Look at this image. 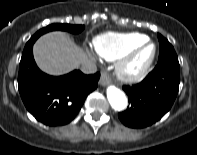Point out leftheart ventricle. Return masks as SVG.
Returning <instances> with one entry per match:
<instances>
[{
    "mask_svg": "<svg viewBox=\"0 0 197 155\" xmlns=\"http://www.w3.org/2000/svg\"><path fill=\"white\" fill-rule=\"evenodd\" d=\"M150 51H151L150 48H146V49L142 50V51L136 56V58L134 59V61H133V66L136 67V66H139V65L143 64V63L147 60V58H148V56H149V54H150Z\"/></svg>",
    "mask_w": 197,
    "mask_h": 155,
    "instance_id": "left-heart-ventricle-1",
    "label": "left heart ventricle"
}]
</instances>
